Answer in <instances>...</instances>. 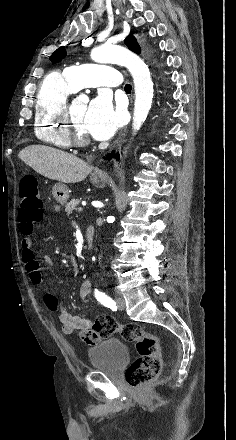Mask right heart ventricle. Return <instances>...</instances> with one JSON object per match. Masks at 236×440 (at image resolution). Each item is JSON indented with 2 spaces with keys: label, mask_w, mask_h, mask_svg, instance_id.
<instances>
[{
  "label": "right heart ventricle",
  "mask_w": 236,
  "mask_h": 440,
  "mask_svg": "<svg viewBox=\"0 0 236 440\" xmlns=\"http://www.w3.org/2000/svg\"><path fill=\"white\" fill-rule=\"evenodd\" d=\"M74 91L64 74L51 73L44 78L36 95L35 135L57 149L71 145L62 115L67 97Z\"/></svg>",
  "instance_id": "obj_1"
}]
</instances>
